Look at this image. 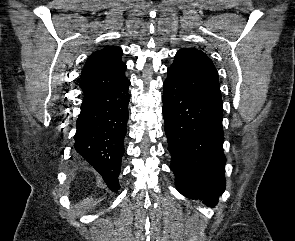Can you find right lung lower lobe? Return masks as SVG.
<instances>
[{
    "instance_id": "1",
    "label": "right lung lower lobe",
    "mask_w": 295,
    "mask_h": 241,
    "mask_svg": "<svg viewBox=\"0 0 295 241\" xmlns=\"http://www.w3.org/2000/svg\"><path fill=\"white\" fill-rule=\"evenodd\" d=\"M127 80L121 85L84 95L74 136L76 151L103 177L109 189L120 188L118 175L125 152L123 140L130 96Z\"/></svg>"
}]
</instances>
